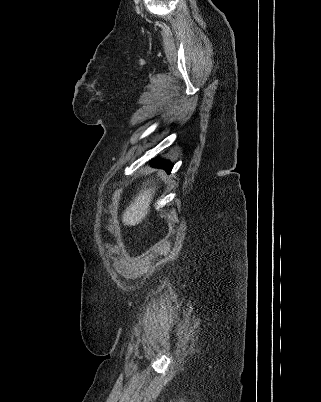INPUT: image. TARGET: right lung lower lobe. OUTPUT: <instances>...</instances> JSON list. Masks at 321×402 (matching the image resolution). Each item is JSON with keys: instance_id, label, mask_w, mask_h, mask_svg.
Instances as JSON below:
<instances>
[{"instance_id": "98d812e1", "label": "right lung lower lobe", "mask_w": 321, "mask_h": 402, "mask_svg": "<svg viewBox=\"0 0 321 402\" xmlns=\"http://www.w3.org/2000/svg\"><path fill=\"white\" fill-rule=\"evenodd\" d=\"M156 166L164 168L167 172H170L173 167V165L167 161H159L156 163Z\"/></svg>"}]
</instances>
